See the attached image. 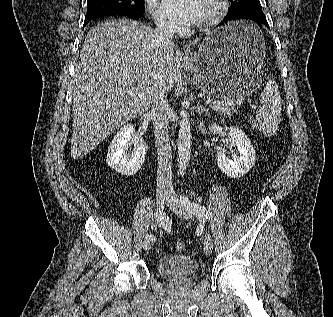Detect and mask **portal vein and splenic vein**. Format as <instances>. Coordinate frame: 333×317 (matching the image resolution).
Here are the masks:
<instances>
[{
    "instance_id": "1",
    "label": "portal vein and splenic vein",
    "mask_w": 333,
    "mask_h": 317,
    "mask_svg": "<svg viewBox=\"0 0 333 317\" xmlns=\"http://www.w3.org/2000/svg\"><path fill=\"white\" fill-rule=\"evenodd\" d=\"M205 103H207V104H218V105H220V104H222L223 102H220V101H217V100H210V99H208V100H205ZM240 103H241V100L240 99H238V100H236L235 102H230L229 103V105H240ZM258 106L257 105H251V108L252 109H256Z\"/></svg>"
}]
</instances>
